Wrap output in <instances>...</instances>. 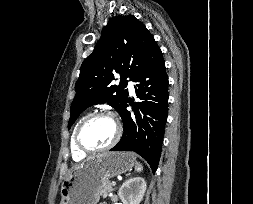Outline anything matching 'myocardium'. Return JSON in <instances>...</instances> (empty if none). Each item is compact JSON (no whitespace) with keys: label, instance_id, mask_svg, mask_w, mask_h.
Listing matches in <instances>:
<instances>
[{"label":"myocardium","instance_id":"obj_1","mask_svg":"<svg viewBox=\"0 0 253 204\" xmlns=\"http://www.w3.org/2000/svg\"><path fill=\"white\" fill-rule=\"evenodd\" d=\"M97 117H105V118L111 119L115 123L116 133H115L114 138L106 146L91 149V148L86 147L82 143V141H81V131H82L83 127L90 120H92L94 118H97ZM121 135H122V126H121L120 122L112 114L104 112V111H98V112H93V113L88 114L86 117H84L81 120V122L79 123V125L77 126L76 131H75V144H76V147L78 148V150L81 151L82 153L94 154V153L107 151V150L113 148L119 142V140L121 138Z\"/></svg>","mask_w":253,"mask_h":204}]
</instances>
